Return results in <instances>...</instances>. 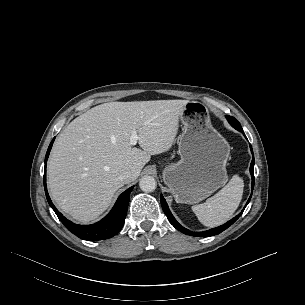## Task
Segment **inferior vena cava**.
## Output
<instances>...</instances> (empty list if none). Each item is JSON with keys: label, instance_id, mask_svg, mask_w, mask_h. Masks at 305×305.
I'll return each mask as SVG.
<instances>
[{"label": "inferior vena cava", "instance_id": "1", "mask_svg": "<svg viewBox=\"0 0 305 305\" xmlns=\"http://www.w3.org/2000/svg\"><path fill=\"white\" fill-rule=\"evenodd\" d=\"M119 180L124 183H130L133 178V173L130 170H122L118 176Z\"/></svg>", "mask_w": 305, "mask_h": 305}]
</instances>
